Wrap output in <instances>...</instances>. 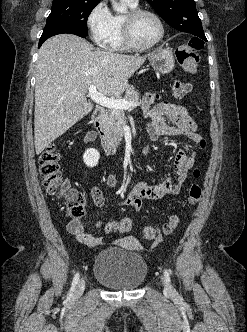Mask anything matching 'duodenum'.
Listing matches in <instances>:
<instances>
[{
  "instance_id": "410a0bca",
  "label": "duodenum",
  "mask_w": 247,
  "mask_h": 332,
  "mask_svg": "<svg viewBox=\"0 0 247 332\" xmlns=\"http://www.w3.org/2000/svg\"><path fill=\"white\" fill-rule=\"evenodd\" d=\"M105 116V110L102 107H96L92 115V123L95 131L101 138L102 146L106 154L110 155L113 153V147L110 141L107 139L103 129V121Z\"/></svg>"
}]
</instances>
